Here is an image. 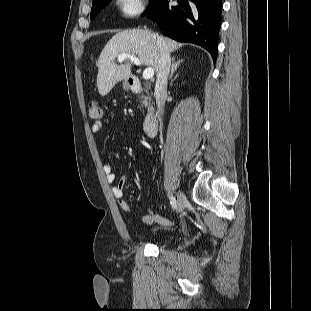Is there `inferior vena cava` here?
<instances>
[{
  "instance_id": "602c4592",
  "label": "inferior vena cava",
  "mask_w": 311,
  "mask_h": 311,
  "mask_svg": "<svg viewBox=\"0 0 311 311\" xmlns=\"http://www.w3.org/2000/svg\"><path fill=\"white\" fill-rule=\"evenodd\" d=\"M156 43L159 49L160 58L157 70V79L155 84V98L157 104V114L163 116L165 98L167 94V79L171 66L170 52L164 40L157 37Z\"/></svg>"
}]
</instances>
